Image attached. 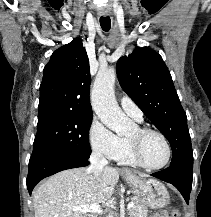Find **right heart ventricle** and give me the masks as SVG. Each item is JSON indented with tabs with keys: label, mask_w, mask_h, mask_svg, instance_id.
<instances>
[{
	"label": "right heart ventricle",
	"mask_w": 211,
	"mask_h": 217,
	"mask_svg": "<svg viewBox=\"0 0 211 217\" xmlns=\"http://www.w3.org/2000/svg\"><path fill=\"white\" fill-rule=\"evenodd\" d=\"M138 122H142V121H138ZM122 141H123L122 149L117 155V157L115 158V160L121 165H129V166L137 165L131 156L128 139L124 138L122 139Z\"/></svg>",
	"instance_id": "obj_1"
}]
</instances>
